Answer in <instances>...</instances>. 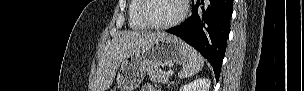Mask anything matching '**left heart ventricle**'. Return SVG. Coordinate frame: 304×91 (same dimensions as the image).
<instances>
[{
	"mask_svg": "<svg viewBox=\"0 0 304 91\" xmlns=\"http://www.w3.org/2000/svg\"><path fill=\"white\" fill-rule=\"evenodd\" d=\"M180 9L178 0H148L145 14L150 22L164 24L176 18Z\"/></svg>",
	"mask_w": 304,
	"mask_h": 91,
	"instance_id": "left-heart-ventricle-1",
	"label": "left heart ventricle"
}]
</instances>
